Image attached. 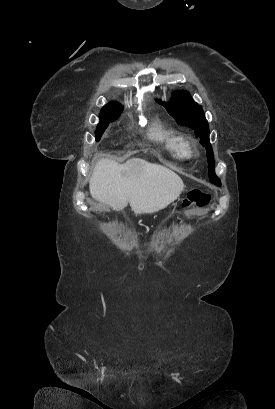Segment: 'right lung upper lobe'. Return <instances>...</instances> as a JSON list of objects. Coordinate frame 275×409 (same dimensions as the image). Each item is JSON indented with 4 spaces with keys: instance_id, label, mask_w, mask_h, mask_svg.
<instances>
[{
    "instance_id": "1",
    "label": "right lung upper lobe",
    "mask_w": 275,
    "mask_h": 409,
    "mask_svg": "<svg viewBox=\"0 0 275 409\" xmlns=\"http://www.w3.org/2000/svg\"><path fill=\"white\" fill-rule=\"evenodd\" d=\"M119 110H122V106L119 105L118 103L111 102V103L107 104V105L101 110V112H115V111H119Z\"/></svg>"
}]
</instances>
